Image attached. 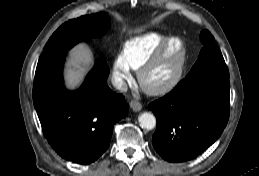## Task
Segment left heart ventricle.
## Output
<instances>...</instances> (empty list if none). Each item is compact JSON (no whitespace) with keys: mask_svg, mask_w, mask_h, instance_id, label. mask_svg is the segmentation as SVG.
Wrapping results in <instances>:
<instances>
[{"mask_svg":"<svg viewBox=\"0 0 259 176\" xmlns=\"http://www.w3.org/2000/svg\"><path fill=\"white\" fill-rule=\"evenodd\" d=\"M177 48L176 42L170 44L163 59L149 73V82L153 84L161 83L172 75L177 58Z\"/></svg>","mask_w":259,"mask_h":176,"instance_id":"obj_1","label":"left heart ventricle"}]
</instances>
